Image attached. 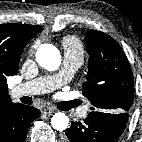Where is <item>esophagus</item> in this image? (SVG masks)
<instances>
[{
	"label": "esophagus",
	"instance_id": "obj_1",
	"mask_svg": "<svg viewBox=\"0 0 142 142\" xmlns=\"http://www.w3.org/2000/svg\"><path fill=\"white\" fill-rule=\"evenodd\" d=\"M56 111L55 108L53 107H49V106H46L42 109V113L45 114V115H49V114H52Z\"/></svg>",
	"mask_w": 142,
	"mask_h": 142
}]
</instances>
